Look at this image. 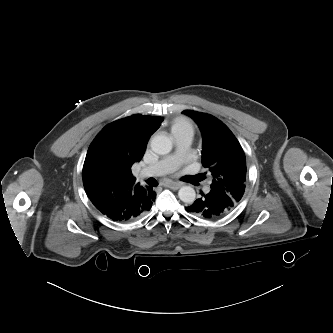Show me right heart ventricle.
Wrapping results in <instances>:
<instances>
[{"mask_svg": "<svg viewBox=\"0 0 333 333\" xmlns=\"http://www.w3.org/2000/svg\"><path fill=\"white\" fill-rule=\"evenodd\" d=\"M184 131H192V125L185 118H177L171 124V133L176 135Z\"/></svg>", "mask_w": 333, "mask_h": 333, "instance_id": "obj_1", "label": "right heart ventricle"}]
</instances>
